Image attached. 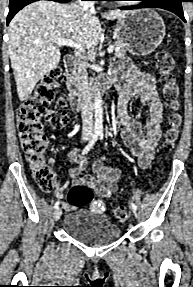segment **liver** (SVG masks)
Returning <instances> with one entry per match:
<instances>
[{"instance_id":"obj_1","label":"liver","mask_w":193,"mask_h":287,"mask_svg":"<svg viewBox=\"0 0 193 287\" xmlns=\"http://www.w3.org/2000/svg\"><path fill=\"white\" fill-rule=\"evenodd\" d=\"M128 13L114 10L102 18L114 20ZM95 14L77 3L42 0L14 16L9 24V55L20 101L27 100L37 82L58 66L61 53L53 39H70L88 50L98 45L101 25Z\"/></svg>"}]
</instances>
